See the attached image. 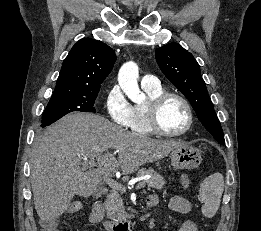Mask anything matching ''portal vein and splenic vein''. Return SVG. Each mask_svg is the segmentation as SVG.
Masks as SVG:
<instances>
[{
	"label": "portal vein and splenic vein",
	"instance_id": "1",
	"mask_svg": "<svg viewBox=\"0 0 261 231\" xmlns=\"http://www.w3.org/2000/svg\"><path fill=\"white\" fill-rule=\"evenodd\" d=\"M89 164L91 166H96V163H95L94 160H91L89 162ZM149 178H150V176H147V177L140 179V182H138L137 185H136V189H140V188L145 187V184H146L145 180L149 179ZM104 180H105L106 184H108V186L111 187L113 190L125 191V189H126L122 184H120L116 180H113L112 178H105Z\"/></svg>",
	"mask_w": 261,
	"mask_h": 231
}]
</instances>
